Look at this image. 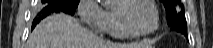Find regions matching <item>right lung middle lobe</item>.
<instances>
[{"mask_svg":"<svg viewBox=\"0 0 213 48\" xmlns=\"http://www.w3.org/2000/svg\"><path fill=\"white\" fill-rule=\"evenodd\" d=\"M80 0H42V3L47 5H53L59 7L60 9L64 10L65 12L73 15L75 9L77 8Z\"/></svg>","mask_w":213,"mask_h":48,"instance_id":"dd1d6c3e","label":"right lung middle lobe"}]
</instances>
